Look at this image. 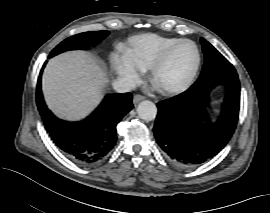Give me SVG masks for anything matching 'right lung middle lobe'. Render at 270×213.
Here are the masks:
<instances>
[{"label": "right lung middle lobe", "mask_w": 270, "mask_h": 213, "mask_svg": "<svg viewBox=\"0 0 270 213\" xmlns=\"http://www.w3.org/2000/svg\"><path fill=\"white\" fill-rule=\"evenodd\" d=\"M108 31H91L84 32L74 36H71L62 41L56 48L50 53V57L55 56L61 52L73 49H88L91 46H95L108 36Z\"/></svg>", "instance_id": "dd1d6c3e"}]
</instances>
